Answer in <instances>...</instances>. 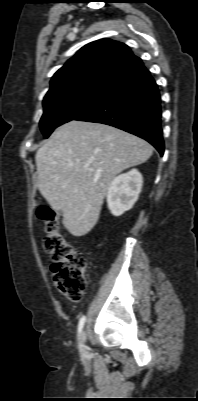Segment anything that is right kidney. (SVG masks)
I'll return each instance as SVG.
<instances>
[{
  "mask_svg": "<svg viewBox=\"0 0 198 401\" xmlns=\"http://www.w3.org/2000/svg\"><path fill=\"white\" fill-rule=\"evenodd\" d=\"M143 185V177L137 169L115 177L107 192V205L112 215L121 216L137 201Z\"/></svg>",
  "mask_w": 198,
  "mask_h": 401,
  "instance_id": "1",
  "label": "right kidney"
}]
</instances>
